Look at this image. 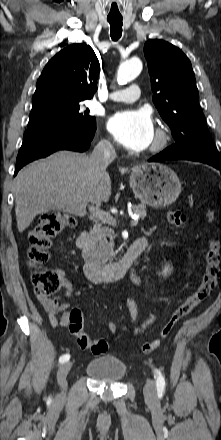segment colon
<instances>
[{
  "label": "colon",
  "instance_id": "1",
  "mask_svg": "<svg viewBox=\"0 0 221 440\" xmlns=\"http://www.w3.org/2000/svg\"><path fill=\"white\" fill-rule=\"evenodd\" d=\"M206 217L210 222L215 220V215L212 212H208ZM167 219L171 225L176 227H182L187 222L186 214L179 210L169 211ZM75 223V218L70 215L51 212L45 214L38 225L29 233L27 257L29 266L34 269L32 283L35 289L46 297H53L63 287V278L58 272L43 268L49 260L52 240L62 231L73 227ZM206 263L205 273L200 285L172 312L163 324L159 336L140 345L139 351L141 353L149 354L159 348L162 342L171 334L175 325L196 306L203 303L217 286L221 276V242L216 238H211L208 241ZM105 324L114 335L120 330L117 320L108 318ZM68 327L70 333L75 336L80 348L89 349L96 355L103 354L108 350L106 340L90 339L84 331L83 312L80 308L74 307L70 311Z\"/></svg>",
  "mask_w": 221,
  "mask_h": 440
}]
</instances>
